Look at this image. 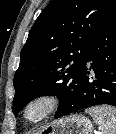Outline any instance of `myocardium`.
I'll list each match as a JSON object with an SVG mask.
<instances>
[{"instance_id": "obj_1", "label": "myocardium", "mask_w": 116, "mask_h": 134, "mask_svg": "<svg viewBox=\"0 0 116 134\" xmlns=\"http://www.w3.org/2000/svg\"><path fill=\"white\" fill-rule=\"evenodd\" d=\"M59 106L54 94H41L32 98L23 108V120L29 125H37L52 116Z\"/></svg>"}]
</instances>
